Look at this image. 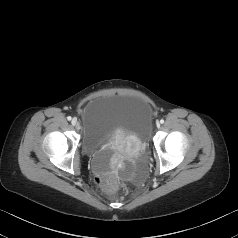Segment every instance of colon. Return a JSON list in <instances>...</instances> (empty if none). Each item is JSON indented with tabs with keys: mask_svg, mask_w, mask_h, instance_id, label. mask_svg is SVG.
<instances>
[{
	"mask_svg": "<svg viewBox=\"0 0 238 238\" xmlns=\"http://www.w3.org/2000/svg\"><path fill=\"white\" fill-rule=\"evenodd\" d=\"M98 185L107 192H114L118 189V181L114 177H97Z\"/></svg>",
	"mask_w": 238,
	"mask_h": 238,
	"instance_id": "5ec220e1",
	"label": "colon"
}]
</instances>
